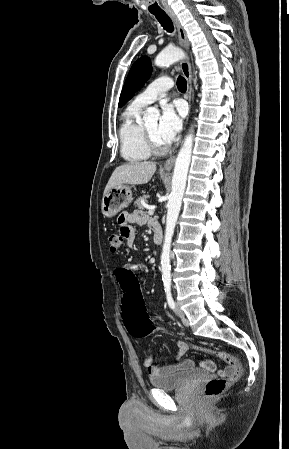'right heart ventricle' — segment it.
Masks as SVG:
<instances>
[{
  "instance_id": "e07e8e85",
  "label": "right heart ventricle",
  "mask_w": 289,
  "mask_h": 449,
  "mask_svg": "<svg viewBox=\"0 0 289 449\" xmlns=\"http://www.w3.org/2000/svg\"><path fill=\"white\" fill-rule=\"evenodd\" d=\"M142 110V107L132 103L122 114L119 128L120 152L127 161H141L151 155L144 140L143 125L140 121Z\"/></svg>"
}]
</instances>
